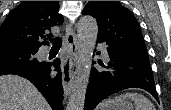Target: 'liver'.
Here are the masks:
<instances>
[{
	"label": "liver",
	"instance_id": "6515ba94",
	"mask_svg": "<svg viewBox=\"0 0 171 110\" xmlns=\"http://www.w3.org/2000/svg\"><path fill=\"white\" fill-rule=\"evenodd\" d=\"M0 110H51L36 87L16 75L0 76Z\"/></svg>",
	"mask_w": 171,
	"mask_h": 110
}]
</instances>
